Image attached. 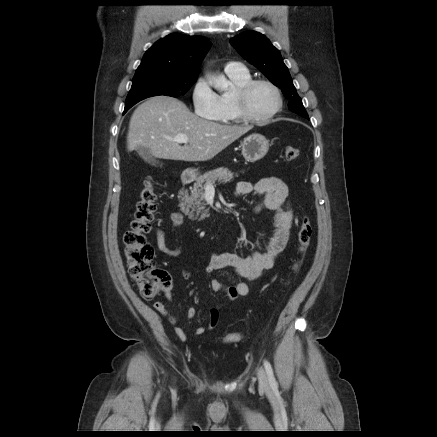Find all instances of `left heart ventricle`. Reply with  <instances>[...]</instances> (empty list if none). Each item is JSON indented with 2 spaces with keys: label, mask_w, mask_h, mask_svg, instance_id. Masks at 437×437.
I'll list each match as a JSON object with an SVG mask.
<instances>
[{
  "label": "left heart ventricle",
  "mask_w": 437,
  "mask_h": 437,
  "mask_svg": "<svg viewBox=\"0 0 437 437\" xmlns=\"http://www.w3.org/2000/svg\"><path fill=\"white\" fill-rule=\"evenodd\" d=\"M276 106V96L273 90L266 85H257L250 93L248 107L257 117L268 115Z\"/></svg>",
  "instance_id": "1"
}]
</instances>
